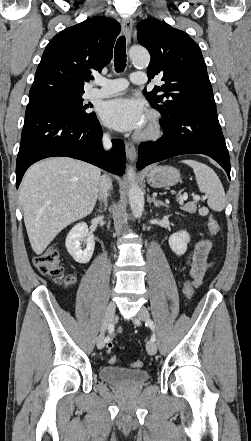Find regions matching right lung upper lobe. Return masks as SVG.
<instances>
[{
	"instance_id": "cb5924a9",
	"label": "right lung upper lobe",
	"mask_w": 251,
	"mask_h": 441,
	"mask_svg": "<svg viewBox=\"0 0 251 441\" xmlns=\"http://www.w3.org/2000/svg\"><path fill=\"white\" fill-rule=\"evenodd\" d=\"M120 24L94 17L66 28L46 46L29 92V103L55 95H83L84 82L110 62Z\"/></svg>"
}]
</instances>
